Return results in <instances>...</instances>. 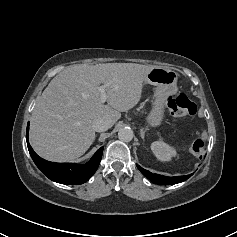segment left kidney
<instances>
[{
	"mask_svg": "<svg viewBox=\"0 0 237 237\" xmlns=\"http://www.w3.org/2000/svg\"><path fill=\"white\" fill-rule=\"evenodd\" d=\"M151 150L160 161H169L172 157L176 156L175 148L163 141L153 142L151 144Z\"/></svg>",
	"mask_w": 237,
	"mask_h": 237,
	"instance_id": "1",
	"label": "left kidney"
}]
</instances>
